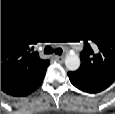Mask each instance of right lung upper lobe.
<instances>
[{"label":"right lung upper lobe","mask_w":115,"mask_h":114,"mask_svg":"<svg viewBox=\"0 0 115 114\" xmlns=\"http://www.w3.org/2000/svg\"><path fill=\"white\" fill-rule=\"evenodd\" d=\"M30 43L22 30L1 26V90L7 94L30 91L46 72L49 60L29 51Z\"/></svg>","instance_id":"1"}]
</instances>
